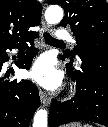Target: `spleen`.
Returning <instances> with one entry per match:
<instances>
[{
    "label": "spleen",
    "mask_w": 108,
    "mask_h": 127,
    "mask_svg": "<svg viewBox=\"0 0 108 127\" xmlns=\"http://www.w3.org/2000/svg\"><path fill=\"white\" fill-rule=\"evenodd\" d=\"M84 127H92V126L89 124H85Z\"/></svg>",
    "instance_id": "spleen-1"
}]
</instances>
